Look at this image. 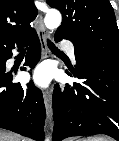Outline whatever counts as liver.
Masks as SVG:
<instances>
[{"label":"liver","mask_w":119,"mask_h":141,"mask_svg":"<svg viewBox=\"0 0 119 141\" xmlns=\"http://www.w3.org/2000/svg\"><path fill=\"white\" fill-rule=\"evenodd\" d=\"M0 141H19V140L15 134L0 130Z\"/></svg>","instance_id":"6515ba94"}]
</instances>
